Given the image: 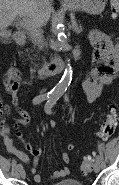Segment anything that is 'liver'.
Listing matches in <instances>:
<instances>
[{"mask_svg": "<svg viewBox=\"0 0 119 185\" xmlns=\"http://www.w3.org/2000/svg\"><path fill=\"white\" fill-rule=\"evenodd\" d=\"M18 15L41 27L50 19V0H0V29L9 27Z\"/></svg>", "mask_w": 119, "mask_h": 185, "instance_id": "1", "label": "liver"}]
</instances>
